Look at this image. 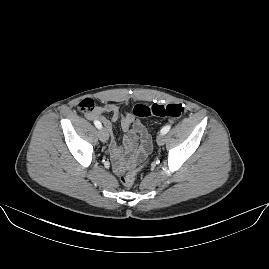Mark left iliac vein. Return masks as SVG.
<instances>
[{
	"instance_id": "obj_1",
	"label": "left iliac vein",
	"mask_w": 269,
	"mask_h": 269,
	"mask_svg": "<svg viewBox=\"0 0 269 269\" xmlns=\"http://www.w3.org/2000/svg\"><path fill=\"white\" fill-rule=\"evenodd\" d=\"M158 145H163L165 143V135L160 133L158 136H157V139H156Z\"/></svg>"
}]
</instances>
